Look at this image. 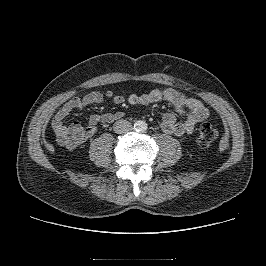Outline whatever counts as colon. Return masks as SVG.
<instances>
[{
	"label": "colon",
	"instance_id": "1",
	"mask_svg": "<svg viewBox=\"0 0 266 266\" xmlns=\"http://www.w3.org/2000/svg\"><path fill=\"white\" fill-rule=\"evenodd\" d=\"M217 138V130L210 123H203L199 126L196 135V144L199 147H207Z\"/></svg>",
	"mask_w": 266,
	"mask_h": 266
}]
</instances>
